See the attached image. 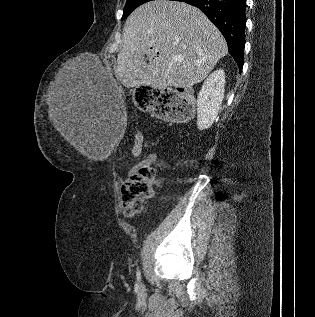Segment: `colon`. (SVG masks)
I'll return each mask as SVG.
<instances>
[{
    "instance_id": "5ec220e1",
    "label": "colon",
    "mask_w": 315,
    "mask_h": 317,
    "mask_svg": "<svg viewBox=\"0 0 315 317\" xmlns=\"http://www.w3.org/2000/svg\"><path fill=\"white\" fill-rule=\"evenodd\" d=\"M152 97H155L154 112L164 121H185L193 115V102L183 90L159 89V95ZM142 142V135L137 133L132 147L133 155L141 153ZM156 185V172L151 166L142 167L125 179L121 198L128 216L132 217L143 211L145 200L153 195Z\"/></svg>"
}]
</instances>
